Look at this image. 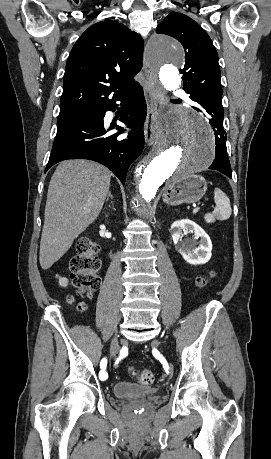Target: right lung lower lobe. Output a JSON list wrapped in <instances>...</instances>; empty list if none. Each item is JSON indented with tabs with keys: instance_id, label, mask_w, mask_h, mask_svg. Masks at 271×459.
<instances>
[{
	"instance_id": "98d812e1",
	"label": "right lung lower lobe",
	"mask_w": 271,
	"mask_h": 459,
	"mask_svg": "<svg viewBox=\"0 0 271 459\" xmlns=\"http://www.w3.org/2000/svg\"><path fill=\"white\" fill-rule=\"evenodd\" d=\"M128 98L129 108L120 121L134 128L125 139H117L124 129L105 135L103 118L108 110L117 109L116 101ZM147 107L142 87L138 84L127 93L106 101L96 116L81 117L58 124L57 135L45 172L54 164L67 159H89L109 168L124 184L130 164L144 146L143 123Z\"/></svg>"
}]
</instances>
